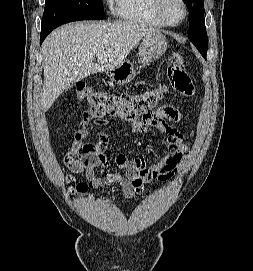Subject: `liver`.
Instances as JSON below:
<instances>
[{
  "instance_id": "liver-1",
  "label": "liver",
  "mask_w": 253,
  "mask_h": 271,
  "mask_svg": "<svg viewBox=\"0 0 253 271\" xmlns=\"http://www.w3.org/2000/svg\"><path fill=\"white\" fill-rule=\"evenodd\" d=\"M155 32L159 31L127 21H82L55 29L42 45V111H48L71 84L123 63L143 37Z\"/></svg>"
}]
</instances>
